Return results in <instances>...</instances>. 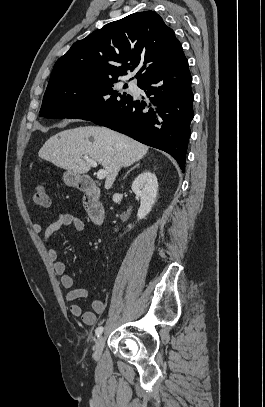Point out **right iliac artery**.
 I'll use <instances>...</instances> for the list:
<instances>
[{"label":"right iliac artery","instance_id":"82829eb1","mask_svg":"<svg viewBox=\"0 0 265 407\" xmlns=\"http://www.w3.org/2000/svg\"><path fill=\"white\" fill-rule=\"evenodd\" d=\"M102 332H103V327H102V326H100V327H98V328L96 329L95 334H96V336H98V337H99V335H101V334H102Z\"/></svg>","mask_w":265,"mask_h":407}]
</instances>
